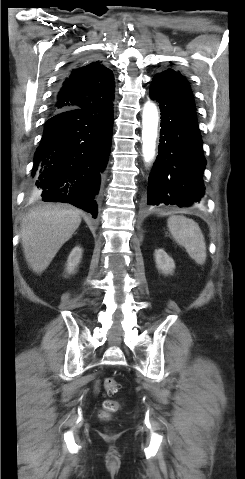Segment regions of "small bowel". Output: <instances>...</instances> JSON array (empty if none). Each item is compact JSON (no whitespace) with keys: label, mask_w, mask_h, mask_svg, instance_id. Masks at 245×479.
I'll return each instance as SVG.
<instances>
[{"label":"small bowel","mask_w":245,"mask_h":479,"mask_svg":"<svg viewBox=\"0 0 245 479\" xmlns=\"http://www.w3.org/2000/svg\"><path fill=\"white\" fill-rule=\"evenodd\" d=\"M96 391H99V387H98V386L96 387Z\"/></svg>","instance_id":"1"}]
</instances>
